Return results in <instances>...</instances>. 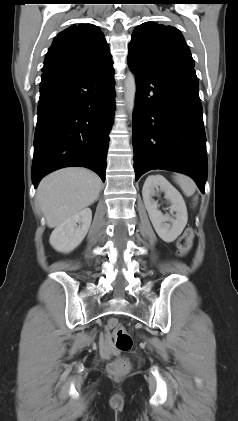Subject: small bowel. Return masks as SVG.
<instances>
[{"instance_id": "1", "label": "small bowel", "mask_w": 238, "mask_h": 421, "mask_svg": "<svg viewBox=\"0 0 238 421\" xmlns=\"http://www.w3.org/2000/svg\"><path fill=\"white\" fill-rule=\"evenodd\" d=\"M100 347L104 354H110L112 352L111 337L109 334H105L101 337Z\"/></svg>"}]
</instances>
